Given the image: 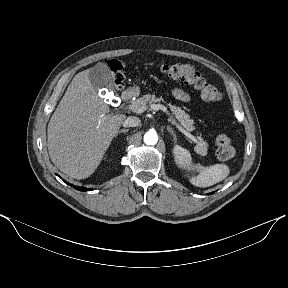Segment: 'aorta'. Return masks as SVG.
Returning a JSON list of instances; mask_svg holds the SVG:
<instances>
[{
	"label": "aorta",
	"instance_id": "1",
	"mask_svg": "<svg viewBox=\"0 0 288 288\" xmlns=\"http://www.w3.org/2000/svg\"><path fill=\"white\" fill-rule=\"evenodd\" d=\"M144 142L146 145H155L158 142V135L154 131H148L144 135Z\"/></svg>",
	"mask_w": 288,
	"mask_h": 288
}]
</instances>
